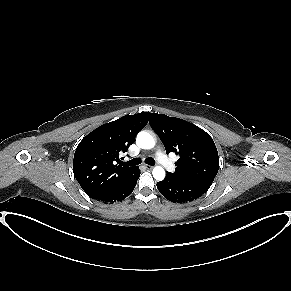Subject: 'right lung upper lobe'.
<instances>
[{
    "label": "right lung upper lobe",
    "instance_id": "1",
    "mask_svg": "<svg viewBox=\"0 0 291 291\" xmlns=\"http://www.w3.org/2000/svg\"><path fill=\"white\" fill-rule=\"evenodd\" d=\"M148 112L126 115L104 124L82 139L76 148L73 172L88 196L97 199L117 188L137 168L113 164L134 143L148 123Z\"/></svg>",
    "mask_w": 291,
    "mask_h": 291
}]
</instances>
